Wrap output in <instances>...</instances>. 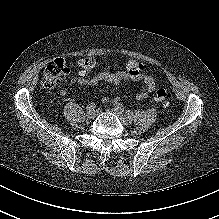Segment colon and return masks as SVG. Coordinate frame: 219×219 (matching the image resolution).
I'll use <instances>...</instances> for the list:
<instances>
[{"instance_id":"obj_1","label":"colon","mask_w":219,"mask_h":219,"mask_svg":"<svg viewBox=\"0 0 219 219\" xmlns=\"http://www.w3.org/2000/svg\"><path fill=\"white\" fill-rule=\"evenodd\" d=\"M91 58L85 60V66L91 67ZM69 73V67L63 58H56L51 61L45 68L41 80V85L44 89L51 90L54 89L58 83L63 80ZM154 99L158 102H162L165 107H170L171 105V95L164 89H158L154 93Z\"/></svg>"}]
</instances>
